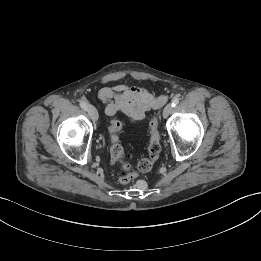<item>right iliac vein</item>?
Returning a JSON list of instances; mask_svg holds the SVG:
<instances>
[{
  "label": "right iliac vein",
  "instance_id": "obj_1",
  "mask_svg": "<svg viewBox=\"0 0 261 261\" xmlns=\"http://www.w3.org/2000/svg\"><path fill=\"white\" fill-rule=\"evenodd\" d=\"M87 112H88L90 118L93 121H97V119H98V112H97L96 108L93 105H87Z\"/></svg>",
  "mask_w": 261,
  "mask_h": 261
}]
</instances>
